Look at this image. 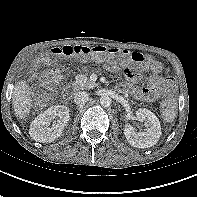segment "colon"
<instances>
[{
	"label": "colon",
	"instance_id": "obj_1",
	"mask_svg": "<svg viewBox=\"0 0 197 197\" xmlns=\"http://www.w3.org/2000/svg\"><path fill=\"white\" fill-rule=\"evenodd\" d=\"M61 57L71 58L77 57L86 59L92 57L95 60H107L112 63L119 61L132 62L138 68H144L151 62V58L139 52H129L118 48H107L105 46H82V45H66L62 47L51 48L46 54L37 58V62L48 65L53 64ZM63 78V72L60 70H51L45 73L41 83L35 87L34 94L37 97H43L48 94L51 87L57 84ZM176 105L174 100H167L163 104L162 116L166 121H172L175 117Z\"/></svg>",
	"mask_w": 197,
	"mask_h": 197
}]
</instances>
